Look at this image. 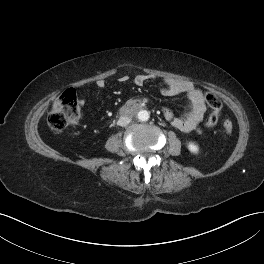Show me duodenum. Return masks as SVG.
<instances>
[{
  "instance_id": "1",
  "label": "duodenum",
  "mask_w": 264,
  "mask_h": 264,
  "mask_svg": "<svg viewBox=\"0 0 264 264\" xmlns=\"http://www.w3.org/2000/svg\"><path fill=\"white\" fill-rule=\"evenodd\" d=\"M142 108H143L142 105H137V106H135V107L132 108V109L125 108V109H123V111H122V115H123L124 117H129L133 112H135V111H137V110H140V109H142Z\"/></svg>"
}]
</instances>
